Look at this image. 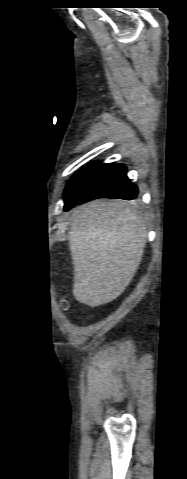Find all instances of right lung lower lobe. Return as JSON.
<instances>
[{
    "mask_svg": "<svg viewBox=\"0 0 187 479\" xmlns=\"http://www.w3.org/2000/svg\"><path fill=\"white\" fill-rule=\"evenodd\" d=\"M137 194L123 164H97L65 192L64 210L102 197L132 200Z\"/></svg>",
    "mask_w": 187,
    "mask_h": 479,
    "instance_id": "1",
    "label": "right lung lower lobe"
}]
</instances>
